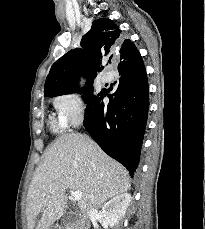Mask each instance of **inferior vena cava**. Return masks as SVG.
<instances>
[{
    "label": "inferior vena cava",
    "instance_id": "inferior-vena-cava-1",
    "mask_svg": "<svg viewBox=\"0 0 205 229\" xmlns=\"http://www.w3.org/2000/svg\"><path fill=\"white\" fill-rule=\"evenodd\" d=\"M93 210H94V207H91L89 212H92Z\"/></svg>",
    "mask_w": 205,
    "mask_h": 229
}]
</instances>
